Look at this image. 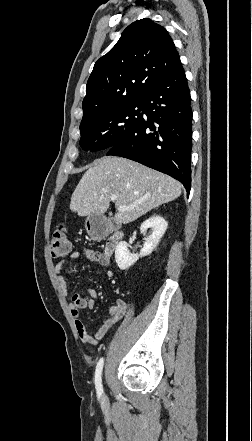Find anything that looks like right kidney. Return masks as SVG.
<instances>
[{
    "instance_id": "right-kidney-1",
    "label": "right kidney",
    "mask_w": 252,
    "mask_h": 441,
    "mask_svg": "<svg viewBox=\"0 0 252 441\" xmlns=\"http://www.w3.org/2000/svg\"><path fill=\"white\" fill-rule=\"evenodd\" d=\"M168 223L159 215L152 216L141 224L140 233L144 234L147 229L151 228L152 233L145 238L143 248L139 254H131L128 250V244L121 241L116 246L115 261L121 270H126L132 266L140 257L150 255L157 247L161 238L163 237Z\"/></svg>"
}]
</instances>
